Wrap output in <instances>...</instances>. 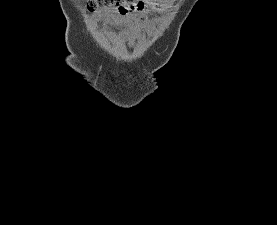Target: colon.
I'll return each instance as SVG.
<instances>
[{"label": "colon", "mask_w": 277, "mask_h": 225, "mask_svg": "<svg viewBox=\"0 0 277 225\" xmlns=\"http://www.w3.org/2000/svg\"><path fill=\"white\" fill-rule=\"evenodd\" d=\"M85 5L90 10L106 8L122 15L139 11L143 7L138 0H85Z\"/></svg>", "instance_id": "5ec220e1"}]
</instances>
